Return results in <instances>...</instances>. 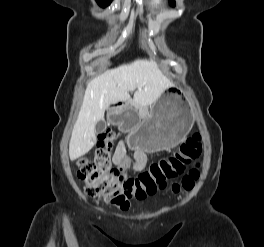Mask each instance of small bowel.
<instances>
[{
  "label": "small bowel",
  "mask_w": 264,
  "mask_h": 247,
  "mask_svg": "<svg viewBox=\"0 0 264 247\" xmlns=\"http://www.w3.org/2000/svg\"><path fill=\"white\" fill-rule=\"evenodd\" d=\"M134 159H135V162L133 165L134 170L136 171L142 170L147 161L146 154L143 151H136L134 154ZM113 162L114 164L121 166V167L129 166L130 161L127 157L126 144L124 141H121L118 144L116 151L114 153V156H113Z\"/></svg>",
  "instance_id": "c3829d8e"
}]
</instances>
